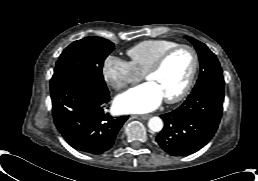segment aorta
Segmentation results:
<instances>
[{
    "mask_svg": "<svg viewBox=\"0 0 258 181\" xmlns=\"http://www.w3.org/2000/svg\"><path fill=\"white\" fill-rule=\"evenodd\" d=\"M148 127L154 132H159L163 128V121L159 117H152L148 121Z\"/></svg>",
    "mask_w": 258,
    "mask_h": 181,
    "instance_id": "aorta-1",
    "label": "aorta"
}]
</instances>
